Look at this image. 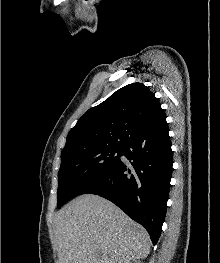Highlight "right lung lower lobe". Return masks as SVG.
I'll return each mask as SVG.
<instances>
[{
    "label": "right lung lower lobe",
    "instance_id": "right-lung-lower-lobe-1",
    "mask_svg": "<svg viewBox=\"0 0 220 263\" xmlns=\"http://www.w3.org/2000/svg\"><path fill=\"white\" fill-rule=\"evenodd\" d=\"M172 154L168 131L157 138L135 139L123 148L130 164L120 159L80 194H96L116 204L149 232L156 245L166 215Z\"/></svg>",
    "mask_w": 220,
    "mask_h": 263
}]
</instances>
